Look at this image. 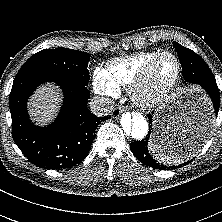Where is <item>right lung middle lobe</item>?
Returning <instances> with one entry per match:
<instances>
[{
  "instance_id": "dd1d6c3e",
  "label": "right lung middle lobe",
  "mask_w": 222,
  "mask_h": 222,
  "mask_svg": "<svg viewBox=\"0 0 222 222\" xmlns=\"http://www.w3.org/2000/svg\"><path fill=\"white\" fill-rule=\"evenodd\" d=\"M89 60L90 55L86 52L68 48L44 49L31 56L20 68L17 75L44 73L87 86Z\"/></svg>"
}]
</instances>
